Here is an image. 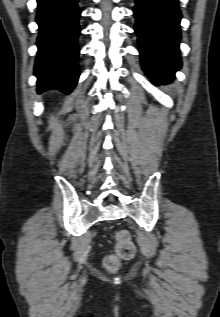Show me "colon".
<instances>
[{
    "mask_svg": "<svg viewBox=\"0 0 220 317\" xmlns=\"http://www.w3.org/2000/svg\"><path fill=\"white\" fill-rule=\"evenodd\" d=\"M115 239L116 254L108 257L105 261L106 268L112 271L118 268L120 261L130 260L135 252L134 244L126 231H118L115 235Z\"/></svg>",
    "mask_w": 220,
    "mask_h": 317,
    "instance_id": "obj_1",
    "label": "colon"
}]
</instances>
